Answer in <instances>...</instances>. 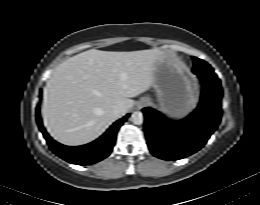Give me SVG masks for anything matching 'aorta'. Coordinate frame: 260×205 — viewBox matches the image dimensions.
<instances>
[{
  "label": "aorta",
  "instance_id": "obj_1",
  "mask_svg": "<svg viewBox=\"0 0 260 205\" xmlns=\"http://www.w3.org/2000/svg\"><path fill=\"white\" fill-rule=\"evenodd\" d=\"M130 120L133 122V124L135 125H141L143 123V114L140 111H136L134 112L131 117Z\"/></svg>",
  "mask_w": 260,
  "mask_h": 205
}]
</instances>
